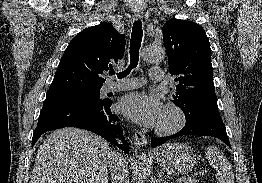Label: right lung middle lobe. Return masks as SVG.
Returning <instances> with one entry per match:
<instances>
[{
    "label": "right lung middle lobe",
    "instance_id": "right-lung-middle-lobe-1",
    "mask_svg": "<svg viewBox=\"0 0 262 183\" xmlns=\"http://www.w3.org/2000/svg\"><path fill=\"white\" fill-rule=\"evenodd\" d=\"M100 89L101 88L52 91L47 92V98L80 99L101 102L103 100L99 97Z\"/></svg>",
    "mask_w": 262,
    "mask_h": 183
}]
</instances>
